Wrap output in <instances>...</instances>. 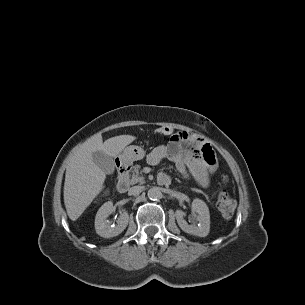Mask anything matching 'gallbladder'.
Returning a JSON list of instances; mask_svg holds the SVG:
<instances>
[{"instance_id": "bac80fb5", "label": "gallbladder", "mask_w": 305, "mask_h": 305, "mask_svg": "<svg viewBox=\"0 0 305 305\" xmlns=\"http://www.w3.org/2000/svg\"><path fill=\"white\" fill-rule=\"evenodd\" d=\"M94 163L106 174H113L115 165L112 157L104 154L102 151L92 153Z\"/></svg>"}]
</instances>
